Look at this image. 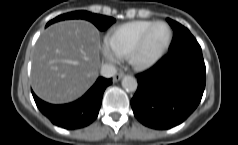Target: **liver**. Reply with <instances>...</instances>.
<instances>
[{
    "label": "liver",
    "instance_id": "6515ba94",
    "mask_svg": "<svg viewBox=\"0 0 238 145\" xmlns=\"http://www.w3.org/2000/svg\"><path fill=\"white\" fill-rule=\"evenodd\" d=\"M100 66L99 31L85 20L58 22L35 45L31 85L46 102L69 103L91 87Z\"/></svg>",
    "mask_w": 238,
    "mask_h": 145
}]
</instances>
